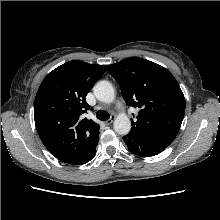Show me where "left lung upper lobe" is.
<instances>
[{"mask_svg":"<svg viewBox=\"0 0 220 220\" xmlns=\"http://www.w3.org/2000/svg\"><path fill=\"white\" fill-rule=\"evenodd\" d=\"M129 106L138 107L129 136L136 142L166 148L177 136L185 113V98L177 80L164 67L131 57L108 65Z\"/></svg>","mask_w":220,"mask_h":220,"instance_id":"left-lung-upper-lobe-1","label":"left lung upper lobe"}]
</instances>
